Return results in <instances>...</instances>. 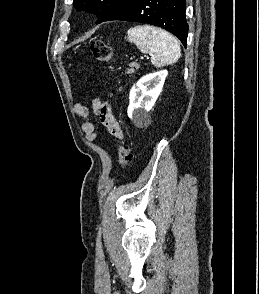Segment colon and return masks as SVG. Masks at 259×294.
I'll use <instances>...</instances> for the list:
<instances>
[{"mask_svg": "<svg viewBox=\"0 0 259 294\" xmlns=\"http://www.w3.org/2000/svg\"><path fill=\"white\" fill-rule=\"evenodd\" d=\"M94 58L100 62H108L112 58V49L102 40H94L89 45ZM133 157L131 146L121 144L119 147V163L123 168L130 165Z\"/></svg>", "mask_w": 259, "mask_h": 294, "instance_id": "1", "label": "colon"}]
</instances>
